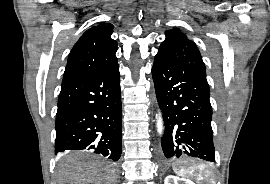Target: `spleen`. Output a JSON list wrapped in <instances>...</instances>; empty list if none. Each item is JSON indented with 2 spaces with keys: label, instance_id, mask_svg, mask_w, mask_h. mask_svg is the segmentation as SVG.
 <instances>
[{
  "label": "spleen",
  "instance_id": "spleen-1",
  "mask_svg": "<svg viewBox=\"0 0 270 184\" xmlns=\"http://www.w3.org/2000/svg\"><path fill=\"white\" fill-rule=\"evenodd\" d=\"M176 174L184 178L196 179L199 184H211L212 182V174L204 164L183 168L179 174Z\"/></svg>",
  "mask_w": 270,
  "mask_h": 184
}]
</instances>
